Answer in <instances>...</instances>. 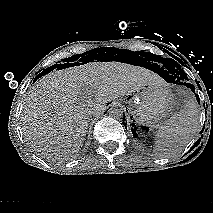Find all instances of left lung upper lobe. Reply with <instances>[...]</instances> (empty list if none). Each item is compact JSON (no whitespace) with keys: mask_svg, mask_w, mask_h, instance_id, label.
I'll use <instances>...</instances> for the list:
<instances>
[{"mask_svg":"<svg viewBox=\"0 0 213 213\" xmlns=\"http://www.w3.org/2000/svg\"><path fill=\"white\" fill-rule=\"evenodd\" d=\"M159 61H161L163 63V65L166 67V69L169 71V73L171 75H173L176 80H180V81L188 80L187 75L184 72V70L173 59H170V58H167V59L160 58Z\"/></svg>","mask_w":213,"mask_h":213,"instance_id":"obj_1","label":"left lung upper lobe"}]
</instances>
